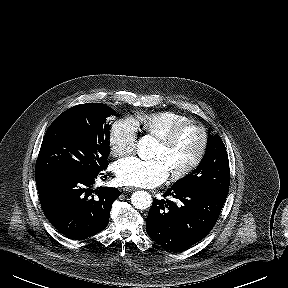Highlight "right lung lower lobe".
Returning a JSON list of instances; mask_svg holds the SVG:
<instances>
[{"instance_id": "1", "label": "right lung lower lobe", "mask_w": 288, "mask_h": 288, "mask_svg": "<svg viewBox=\"0 0 288 288\" xmlns=\"http://www.w3.org/2000/svg\"><path fill=\"white\" fill-rule=\"evenodd\" d=\"M106 180L102 172L94 177L66 173L35 176L41 207L50 223L72 239H85L106 228L117 188L92 190L95 179Z\"/></svg>"}]
</instances>
